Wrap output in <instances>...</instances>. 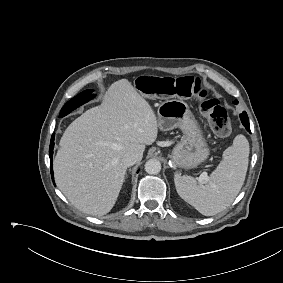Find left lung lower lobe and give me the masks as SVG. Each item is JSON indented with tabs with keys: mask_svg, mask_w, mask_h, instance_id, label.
I'll use <instances>...</instances> for the list:
<instances>
[{
	"mask_svg": "<svg viewBox=\"0 0 283 283\" xmlns=\"http://www.w3.org/2000/svg\"><path fill=\"white\" fill-rule=\"evenodd\" d=\"M240 118H241L242 124L245 126L246 130L251 133L250 125H249V119H248L247 113L245 111L242 114H240Z\"/></svg>",
	"mask_w": 283,
	"mask_h": 283,
	"instance_id": "0a47b994",
	"label": "left lung lower lobe"
}]
</instances>
